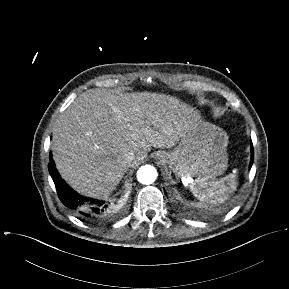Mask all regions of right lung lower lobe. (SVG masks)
I'll use <instances>...</instances> for the list:
<instances>
[{
  "label": "right lung lower lobe",
  "instance_id": "98d812e1",
  "mask_svg": "<svg viewBox=\"0 0 289 289\" xmlns=\"http://www.w3.org/2000/svg\"><path fill=\"white\" fill-rule=\"evenodd\" d=\"M48 169L50 175L56 186L58 196L62 203L76 211L81 218L91 222H101L109 216V205L104 201H98L95 199H89L83 197L73 191L60 177L59 173L55 168L54 161L51 155Z\"/></svg>",
  "mask_w": 289,
  "mask_h": 289
}]
</instances>
